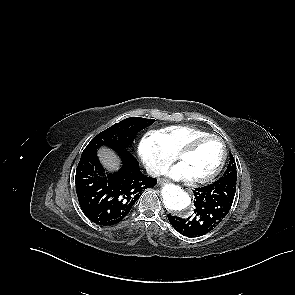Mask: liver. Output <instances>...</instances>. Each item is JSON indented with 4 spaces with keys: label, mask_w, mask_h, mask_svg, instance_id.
I'll use <instances>...</instances> for the list:
<instances>
[{
    "label": "liver",
    "mask_w": 295,
    "mask_h": 295,
    "mask_svg": "<svg viewBox=\"0 0 295 295\" xmlns=\"http://www.w3.org/2000/svg\"><path fill=\"white\" fill-rule=\"evenodd\" d=\"M98 156L103 163L104 166H106L110 170H115L118 168L119 161L114 154L113 151H111L108 148H102L99 150Z\"/></svg>",
    "instance_id": "liver-1"
}]
</instances>
